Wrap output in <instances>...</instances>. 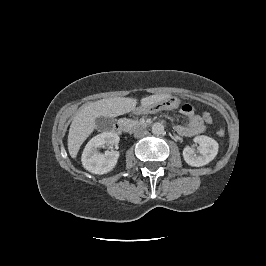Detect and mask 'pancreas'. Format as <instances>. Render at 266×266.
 <instances>
[{"label": "pancreas", "instance_id": "obj_1", "mask_svg": "<svg viewBox=\"0 0 266 266\" xmlns=\"http://www.w3.org/2000/svg\"><path fill=\"white\" fill-rule=\"evenodd\" d=\"M131 123H132V126L135 128L136 125L138 124V121L137 120H132Z\"/></svg>", "mask_w": 266, "mask_h": 266}]
</instances>
